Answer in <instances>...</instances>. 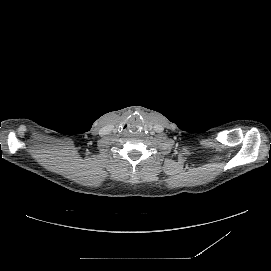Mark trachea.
I'll return each instance as SVG.
<instances>
[{"instance_id": "trachea-1", "label": "trachea", "mask_w": 271, "mask_h": 271, "mask_svg": "<svg viewBox=\"0 0 271 271\" xmlns=\"http://www.w3.org/2000/svg\"><path fill=\"white\" fill-rule=\"evenodd\" d=\"M140 123L137 120L130 121L128 123V130L130 132H137L139 130Z\"/></svg>"}]
</instances>
